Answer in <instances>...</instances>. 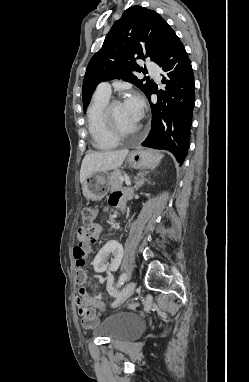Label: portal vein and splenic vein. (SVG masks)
Segmentation results:
<instances>
[{
	"label": "portal vein and splenic vein",
	"mask_w": 249,
	"mask_h": 382,
	"mask_svg": "<svg viewBox=\"0 0 249 382\" xmlns=\"http://www.w3.org/2000/svg\"><path fill=\"white\" fill-rule=\"evenodd\" d=\"M120 180L123 182V181H125V183H126V185L127 186H130L131 185V182H130V180L129 179H127V178H124V177H120Z\"/></svg>",
	"instance_id": "18ae733b"
}]
</instances>
